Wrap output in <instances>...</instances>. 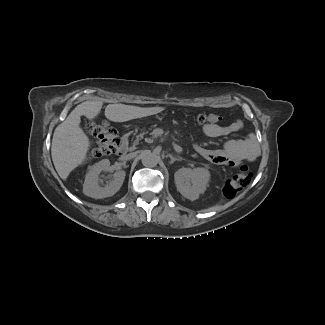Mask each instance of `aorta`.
<instances>
[{"instance_id": "762f6f07", "label": "aorta", "mask_w": 325, "mask_h": 325, "mask_svg": "<svg viewBox=\"0 0 325 325\" xmlns=\"http://www.w3.org/2000/svg\"><path fill=\"white\" fill-rule=\"evenodd\" d=\"M141 161L145 167H155L158 164L159 156L150 150H145L141 153Z\"/></svg>"}]
</instances>
